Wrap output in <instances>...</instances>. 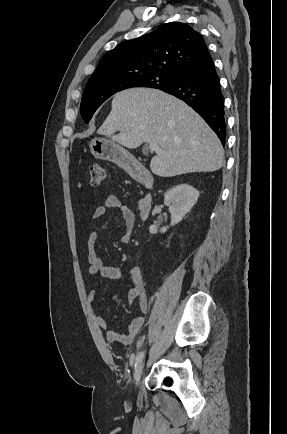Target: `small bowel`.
Here are the masks:
<instances>
[{"instance_id":"obj_1","label":"small bowel","mask_w":287,"mask_h":434,"mask_svg":"<svg viewBox=\"0 0 287 434\" xmlns=\"http://www.w3.org/2000/svg\"><path fill=\"white\" fill-rule=\"evenodd\" d=\"M111 208L117 209L124 222L125 231L121 236V241L125 244L131 240V234L134 227V213L120 199L114 195L108 196L105 203L96 207L92 214L93 219H100ZM97 235L95 232H90L87 237V260H88V272L90 275H100L103 278L108 279H120L126 272L130 276V289L128 293V301L130 304L137 302L140 309V314L136 316L128 327L123 332H116L109 327V322L104 317H96V324L106 331V339L109 342H117L121 344L131 343L135 337L143 329L146 321V314L148 312V300L146 296V289L143 280V274L139 267L132 266L128 269L121 267L108 266L96 255L95 243ZM96 298V292L90 291L88 294V301L93 304Z\"/></svg>"}]
</instances>
